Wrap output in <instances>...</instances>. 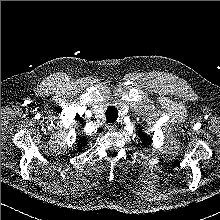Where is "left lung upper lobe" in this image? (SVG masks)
<instances>
[{"label":"left lung upper lobe","instance_id":"obj_1","mask_svg":"<svg viewBox=\"0 0 220 220\" xmlns=\"http://www.w3.org/2000/svg\"><path fill=\"white\" fill-rule=\"evenodd\" d=\"M139 137H140V139L142 140V142H143L146 146L150 145V143H151V138H149V136H147L146 134H144V133L142 132V130H139Z\"/></svg>","mask_w":220,"mask_h":220}]
</instances>
